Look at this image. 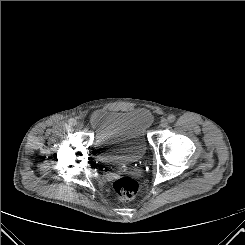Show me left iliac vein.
Returning <instances> with one entry per match:
<instances>
[{
    "instance_id": "left-iliac-vein-1",
    "label": "left iliac vein",
    "mask_w": 245,
    "mask_h": 245,
    "mask_svg": "<svg viewBox=\"0 0 245 245\" xmlns=\"http://www.w3.org/2000/svg\"><path fill=\"white\" fill-rule=\"evenodd\" d=\"M160 126L162 128H165L168 126V120L167 119H162L161 122H160Z\"/></svg>"
}]
</instances>
